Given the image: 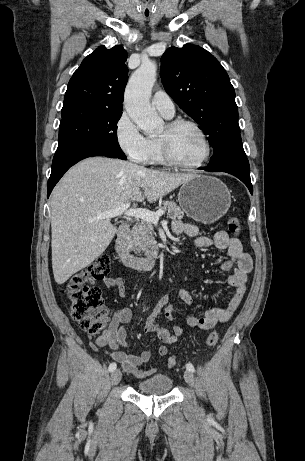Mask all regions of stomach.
I'll return each instance as SVG.
<instances>
[{"label":"stomach","instance_id":"obj_1","mask_svg":"<svg viewBox=\"0 0 305 461\" xmlns=\"http://www.w3.org/2000/svg\"><path fill=\"white\" fill-rule=\"evenodd\" d=\"M178 202L189 217L211 224L227 213L231 195L227 186L218 178L194 175L182 184Z\"/></svg>","mask_w":305,"mask_h":461}]
</instances>
